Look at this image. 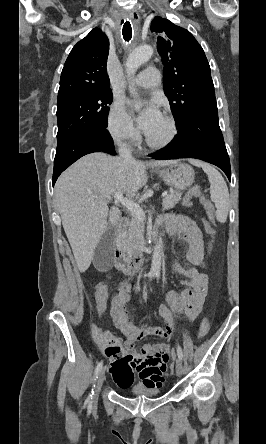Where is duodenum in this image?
<instances>
[{
  "mask_svg": "<svg viewBox=\"0 0 266 444\" xmlns=\"http://www.w3.org/2000/svg\"><path fill=\"white\" fill-rule=\"evenodd\" d=\"M125 220L120 224V232L115 241V266L126 275H133L141 269V265L134 261L131 255L127 252L124 244L122 226Z\"/></svg>",
  "mask_w": 266,
  "mask_h": 444,
  "instance_id": "obj_1",
  "label": "duodenum"
}]
</instances>
